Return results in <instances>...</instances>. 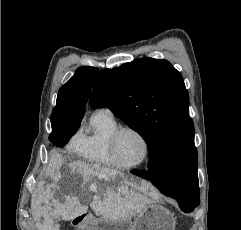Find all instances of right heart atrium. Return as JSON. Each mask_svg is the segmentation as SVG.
I'll return each instance as SVG.
<instances>
[{
	"mask_svg": "<svg viewBox=\"0 0 241 230\" xmlns=\"http://www.w3.org/2000/svg\"><path fill=\"white\" fill-rule=\"evenodd\" d=\"M82 141H83V135L80 131H78L72 136V138L68 143V146L72 150L77 151L80 148Z\"/></svg>",
	"mask_w": 241,
	"mask_h": 230,
	"instance_id": "obj_1",
	"label": "right heart atrium"
}]
</instances>
